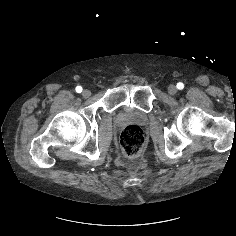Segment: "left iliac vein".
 I'll use <instances>...</instances> for the list:
<instances>
[{
  "mask_svg": "<svg viewBox=\"0 0 236 236\" xmlns=\"http://www.w3.org/2000/svg\"><path fill=\"white\" fill-rule=\"evenodd\" d=\"M168 93L174 95L177 93V87L173 84L168 86Z\"/></svg>",
  "mask_w": 236,
  "mask_h": 236,
  "instance_id": "obj_1",
  "label": "left iliac vein"
}]
</instances>
